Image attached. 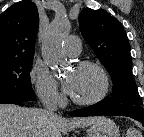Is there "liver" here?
<instances>
[{"label":"liver","instance_id":"liver-1","mask_svg":"<svg viewBox=\"0 0 144 137\" xmlns=\"http://www.w3.org/2000/svg\"><path fill=\"white\" fill-rule=\"evenodd\" d=\"M99 118H65L45 109L0 104V137H62L61 133L86 127Z\"/></svg>","mask_w":144,"mask_h":137}]
</instances>
